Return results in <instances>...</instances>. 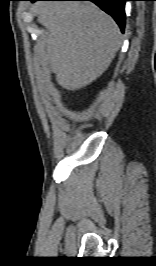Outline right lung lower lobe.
Segmentation results:
<instances>
[{
    "mask_svg": "<svg viewBox=\"0 0 156 266\" xmlns=\"http://www.w3.org/2000/svg\"><path fill=\"white\" fill-rule=\"evenodd\" d=\"M35 1H91L98 5L103 11L111 15L117 24L120 26L122 32L125 28V1L126 0H31Z\"/></svg>",
    "mask_w": 156,
    "mask_h": 266,
    "instance_id": "obj_1",
    "label": "right lung lower lobe"
}]
</instances>
